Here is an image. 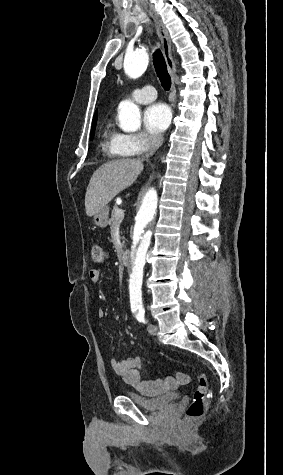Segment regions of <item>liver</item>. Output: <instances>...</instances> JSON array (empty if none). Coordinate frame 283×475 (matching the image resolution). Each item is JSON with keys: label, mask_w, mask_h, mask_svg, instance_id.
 <instances>
[{"label": "liver", "mask_w": 283, "mask_h": 475, "mask_svg": "<svg viewBox=\"0 0 283 475\" xmlns=\"http://www.w3.org/2000/svg\"><path fill=\"white\" fill-rule=\"evenodd\" d=\"M143 160H112L94 172L86 190L85 210L87 216H95L105 208L119 192L129 188L144 166Z\"/></svg>", "instance_id": "6515ba94"}]
</instances>
